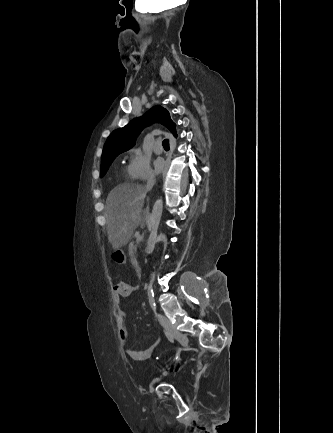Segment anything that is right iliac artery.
I'll use <instances>...</instances> for the list:
<instances>
[{"instance_id": "1", "label": "right iliac artery", "mask_w": 333, "mask_h": 433, "mask_svg": "<svg viewBox=\"0 0 333 433\" xmlns=\"http://www.w3.org/2000/svg\"><path fill=\"white\" fill-rule=\"evenodd\" d=\"M165 336L167 337V339L171 342L174 343V337L167 331L164 330Z\"/></svg>"}]
</instances>
